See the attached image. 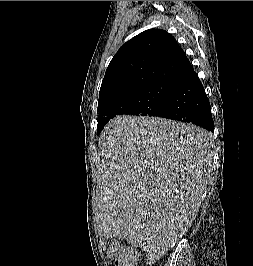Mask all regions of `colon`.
I'll use <instances>...</instances> for the list:
<instances>
[{"label":"colon","instance_id":"5ec220e1","mask_svg":"<svg viewBox=\"0 0 253 266\" xmlns=\"http://www.w3.org/2000/svg\"><path fill=\"white\" fill-rule=\"evenodd\" d=\"M107 254L115 266H136L134 254L116 243L110 245Z\"/></svg>","mask_w":253,"mask_h":266}]
</instances>
